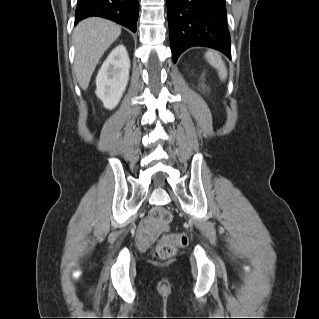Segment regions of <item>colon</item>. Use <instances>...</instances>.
<instances>
[{
  "instance_id": "1",
  "label": "colon",
  "mask_w": 319,
  "mask_h": 319,
  "mask_svg": "<svg viewBox=\"0 0 319 319\" xmlns=\"http://www.w3.org/2000/svg\"><path fill=\"white\" fill-rule=\"evenodd\" d=\"M170 220L171 214L168 209L163 206H158L152 211L149 223L159 227H166ZM187 242V237L182 233L164 235L154 251V256L158 260L169 259L176 254L179 248L185 247Z\"/></svg>"
}]
</instances>
